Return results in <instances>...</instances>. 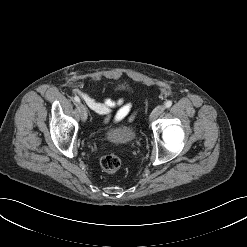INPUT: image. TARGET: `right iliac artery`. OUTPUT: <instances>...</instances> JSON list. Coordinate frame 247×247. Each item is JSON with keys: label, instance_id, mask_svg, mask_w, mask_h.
<instances>
[{"label": "right iliac artery", "instance_id": "right-iliac-artery-1", "mask_svg": "<svg viewBox=\"0 0 247 247\" xmlns=\"http://www.w3.org/2000/svg\"><path fill=\"white\" fill-rule=\"evenodd\" d=\"M74 100H75L76 103H79V102H80V99H79L78 96H75V97H74Z\"/></svg>", "mask_w": 247, "mask_h": 247}]
</instances>
